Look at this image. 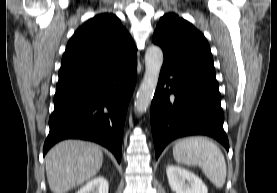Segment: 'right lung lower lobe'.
<instances>
[{
    "instance_id": "98d812e1",
    "label": "right lung lower lobe",
    "mask_w": 277,
    "mask_h": 193,
    "mask_svg": "<svg viewBox=\"0 0 277 193\" xmlns=\"http://www.w3.org/2000/svg\"><path fill=\"white\" fill-rule=\"evenodd\" d=\"M137 77L136 57L90 76L58 82L43 155L64 139L108 148L121 161L124 123Z\"/></svg>"
}]
</instances>
